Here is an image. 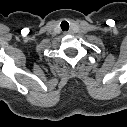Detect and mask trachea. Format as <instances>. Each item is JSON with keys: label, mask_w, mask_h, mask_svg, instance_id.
Masks as SVG:
<instances>
[{"label": "trachea", "mask_w": 127, "mask_h": 127, "mask_svg": "<svg viewBox=\"0 0 127 127\" xmlns=\"http://www.w3.org/2000/svg\"><path fill=\"white\" fill-rule=\"evenodd\" d=\"M60 26L63 31H68L69 29V23L67 21H62Z\"/></svg>", "instance_id": "obj_1"}]
</instances>
